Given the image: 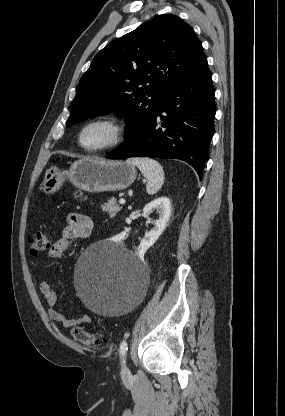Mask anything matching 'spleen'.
<instances>
[{
	"mask_svg": "<svg viewBox=\"0 0 285 416\" xmlns=\"http://www.w3.org/2000/svg\"><path fill=\"white\" fill-rule=\"evenodd\" d=\"M127 164L137 166L144 178L148 180L146 184V192L149 196L157 194L164 184V170L156 160L150 158H128Z\"/></svg>",
	"mask_w": 285,
	"mask_h": 416,
	"instance_id": "spleen-1",
	"label": "spleen"
}]
</instances>
